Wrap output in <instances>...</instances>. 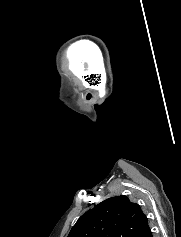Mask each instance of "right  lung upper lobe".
Instances as JSON below:
<instances>
[{"instance_id": "right-lung-upper-lobe-1", "label": "right lung upper lobe", "mask_w": 181, "mask_h": 237, "mask_svg": "<svg viewBox=\"0 0 181 237\" xmlns=\"http://www.w3.org/2000/svg\"><path fill=\"white\" fill-rule=\"evenodd\" d=\"M68 237H152V232L140 206L121 195L84 213Z\"/></svg>"}]
</instances>
